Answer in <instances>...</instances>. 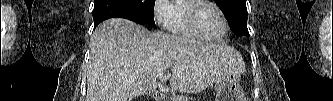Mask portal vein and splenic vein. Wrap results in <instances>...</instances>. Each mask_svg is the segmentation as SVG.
<instances>
[{
  "instance_id": "portal-vein-and-splenic-vein-1",
  "label": "portal vein and splenic vein",
  "mask_w": 333,
  "mask_h": 101,
  "mask_svg": "<svg viewBox=\"0 0 333 101\" xmlns=\"http://www.w3.org/2000/svg\"><path fill=\"white\" fill-rule=\"evenodd\" d=\"M157 79H162V80H164V79H166V75H164V74H159V75H157Z\"/></svg>"
}]
</instances>
